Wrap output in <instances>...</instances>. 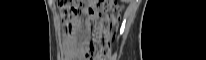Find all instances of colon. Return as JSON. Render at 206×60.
<instances>
[{
  "label": "colon",
  "mask_w": 206,
  "mask_h": 60,
  "mask_svg": "<svg viewBox=\"0 0 206 60\" xmlns=\"http://www.w3.org/2000/svg\"><path fill=\"white\" fill-rule=\"evenodd\" d=\"M59 9L62 22L71 28L80 16L83 4L80 1H60ZM95 10L100 11L102 18L95 27L94 36L87 42L84 53L90 60H109L119 13L109 1L97 4L90 13L93 14Z\"/></svg>",
  "instance_id": "colon-1"
}]
</instances>
